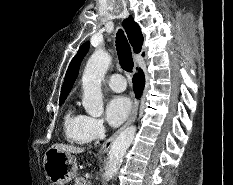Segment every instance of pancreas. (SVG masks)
I'll return each instance as SVG.
<instances>
[{"mask_svg":"<svg viewBox=\"0 0 233 185\" xmlns=\"http://www.w3.org/2000/svg\"><path fill=\"white\" fill-rule=\"evenodd\" d=\"M74 185H87L86 180H84L81 177H77L75 179V184Z\"/></svg>","mask_w":233,"mask_h":185,"instance_id":"1","label":"pancreas"}]
</instances>
